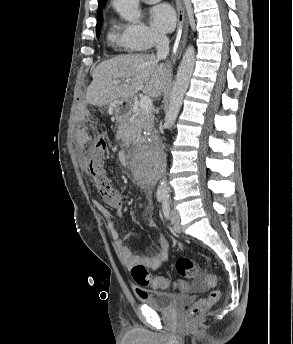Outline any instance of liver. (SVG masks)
<instances>
[{"label":"liver","instance_id":"6515ba94","mask_svg":"<svg viewBox=\"0 0 293 344\" xmlns=\"http://www.w3.org/2000/svg\"><path fill=\"white\" fill-rule=\"evenodd\" d=\"M154 54L121 55L101 62L92 73L86 101L104 106L132 98L138 91L159 97L166 89L169 69ZM114 81H119L115 84Z\"/></svg>","mask_w":293,"mask_h":344}]
</instances>
